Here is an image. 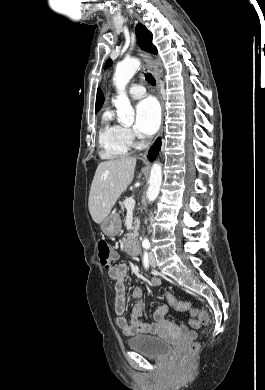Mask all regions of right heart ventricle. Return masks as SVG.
I'll use <instances>...</instances> for the list:
<instances>
[{"label":"right heart ventricle","mask_w":265,"mask_h":390,"mask_svg":"<svg viewBox=\"0 0 265 390\" xmlns=\"http://www.w3.org/2000/svg\"><path fill=\"white\" fill-rule=\"evenodd\" d=\"M99 145L101 157L109 160L127 155L131 147L126 137L125 127L114 121V115L110 109H106L102 114Z\"/></svg>","instance_id":"e07e8e85"}]
</instances>
